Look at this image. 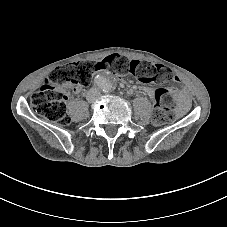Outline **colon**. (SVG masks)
<instances>
[{
    "mask_svg": "<svg viewBox=\"0 0 227 227\" xmlns=\"http://www.w3.org/2000/svg\"><path fill=\"white\" fill-rule=\"evenodd\" d=\"M111 71L118 76L134 75L141 83H164L176 80L171 70L161 64L138 60H128L118 54H112L94 63L89 61L69 63L51 72L44 85L31 96L33 110L53 123L67 125L70 117L66 110L69 91L77 86H85L96 71ZM176 101V89L158 88L155 90V108L152 121L162 126L173 120V107Z\"/></svg>",
    "mask_w": 227,
    "mask_h": 227,
    "instance_id": "1",
    "label": "colon"
}]
</instances>
